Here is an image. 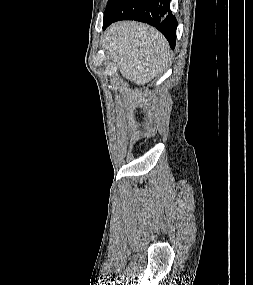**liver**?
I'll return each mask as SVG.
<instances>
[{"label": "liver", "instance_id": "6515ba94", "mask_svg": "<svg viewBox=\"0 0 253 285\" xmlns=\"http://www.w3.org/2000/svg\"><path fill=\"white\" fill-rule=\"evenodd\" d=\"M105 35L108 55L129 81L144 85L167 67L169 44L155 28L123 21L112 24Z\"/></svg>", "mask_w": 253, "mask_h": 285}]
</instances>
